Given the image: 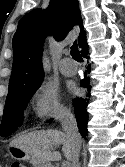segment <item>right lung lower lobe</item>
<instances>
[{
  "label": "right lung lower lobe",
  "instance_id": "obj_1",
  "mask_svg": "<svg viewBox=\"0 0 125 167\" xmlns=\"http://www.w3.org/2000/svg\"><path fill=\"white\" fill-rule=\"evenodd\" d=\"M82 56L89 59L88 56V45L85 42L84 45L81 47ZM90 64L88 65L87 72H90ZM82 87L86 88L90 91V78L87 73L84 74V78L80 81ZM87 98H76L73 100L75 117L77 120V124L79 127V132L81 133L82 137L85 138L87 136V123H88V113L86 111V107L88 105ZM51 121V120H50Z\"/></svg>",
  "mask_w": 125,
  "mask_h": 167
}]
</instances>
